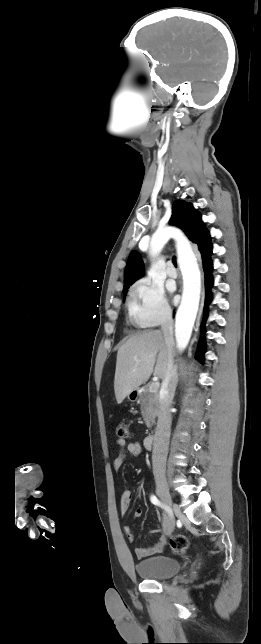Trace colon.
Instances as JSON below:
<instances>
[{
	"instance_id": "colon-1",
	"label": "colon",
	"mask_w": 261,
	"mask_h": 644,
	"mask_svg": "<svg viewBox=\"0 0 261 644\" xmlns=\"http://www.w3.org/2000/svg\"><path fill=\"white\" fill-rule=\"evenodd\" d=\"M117 436L119 439H127L129 429L126 423H120L117 426ZM170 547L175 554H183L189 545V539L183 534H175L170 538Z\"/></svg>"
}]
</instances>
